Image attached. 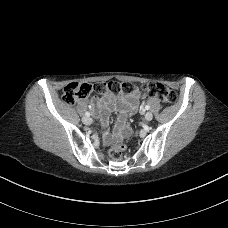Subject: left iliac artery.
<instances>
[{
    "mask_svg": "<svg viewBox=\"0 0 228 228\" xmlns=\"http://www.w3.org/2000/svg\"><path fill=\"white\" fill-rule=\"evenodd\" d=\"M145 109H146V110H149V109H150V106H149V105H146V106H145Z\"/></svg>",
    "mask_w": 228,
    "mask_h": 228,
    "instance_id": "44dca946",
    "label": "left iliac artery"
}]
</instances>
